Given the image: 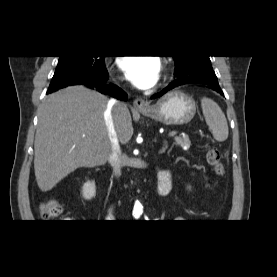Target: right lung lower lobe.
<instances>
[{
  "instance_id": "obj_1",
  "label": "right lung lower lobe",
  "mask_w": 277,
  "mask_h": 277,
  "mask_svg": "<svg viewBox=\"0 0 277 277\" xmlns=\"http://www.w3.org/2000/svg\"><path fill=\"white\" fill-rule=\"evenodd\" d=\"M77 84H79V85H86V86H89L91 88H96L100 92H102V93H108L111 96L116 97L118 99H123V100L127 99V94L123 90H121L120 88H118V87H116L114 85L106 86V81L102 82V83H96V82H93V81L84 80V81L75 83L73 85H77ZM55 91H57V90H55ZM52 92H54V91L48 90L47 94L52 93Z\"/></svg>"
}]
</instances>
